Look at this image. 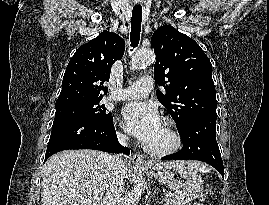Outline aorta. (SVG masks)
<instances>
[{
  "label": "aorta",
  "mask_w": 269,
  "mask_h": 205,
  "mask_svg": "<svg viewBox=\"0 0 269 205\" xmlns=\"http://www.w3.org/2000/svg\"><path fill=\"white\" fill-rule=\"evenodd\" d=\"M156 59L154 51L150 49L139 50L131 60L132 69H138L142 66L152 64ZM145 185L142 181L136 182L132 190L128 193L123 201V205H138L144 192Z\"/></svg>",
  "instance_id": "obj_1"
}]
</instances>
